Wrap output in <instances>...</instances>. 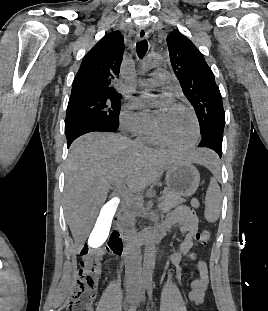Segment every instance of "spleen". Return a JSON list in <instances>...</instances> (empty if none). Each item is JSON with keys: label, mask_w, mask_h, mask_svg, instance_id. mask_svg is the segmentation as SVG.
<instances>
[{"label": "spleen", "mask_w": 268, "mask_h": 311, "mask_svg": "<svg viewBox=\"0 0 268 311\" xmlns=\"http://www.w3.org/2000/svg\"><path fill=\"white\" fill-rule=\"evenodd\" d=\"M204 153L208 158L207 164L214 174L206 191L204 217L208 222L214 223L218 220L222 207V193L217 182L219 179V169L216 166L217 160L210 153V150L205 149Z\"/></svg>", "instance_id": "1"}]
</instances>
